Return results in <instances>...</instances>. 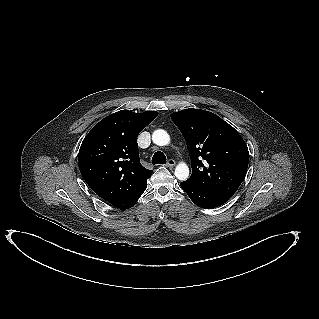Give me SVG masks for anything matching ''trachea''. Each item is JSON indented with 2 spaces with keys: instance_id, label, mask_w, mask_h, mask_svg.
Wrapping results in <instances>:
<instances>
[{
  "instance_id": "obj_1",
  "label": "trachea",
  "mask_w": 319,
  "mask_h": 319,
  "mask_svg": "<svg viewBox=\"0 0 319 319\" xmlns=\"http://www.w3.org/2000/svg\"><path fill=\"white\" fill-rule=\"evenodd\" d=\"M152 164H165L166 163V156L163 152L157 151L154 153L152 157Z\"/></svg>"
}]
</instances>
